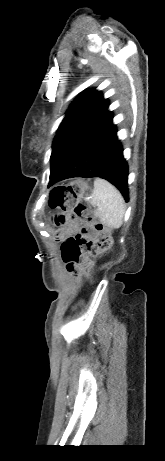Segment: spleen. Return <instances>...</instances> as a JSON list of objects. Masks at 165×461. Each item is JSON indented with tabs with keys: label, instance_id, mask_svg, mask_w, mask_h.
<instances>
[{
	"label": "spleen",
	"instance_id": "spleen-1",
	"mask_svg": "<svg viewBox=\"0 0 165 461\" xmlns=\"http://www.w3.org/2000/svg\"><path fill=\"white\" fill-rule=\"evenodd\" d=\"M90 204L96 208L95 216L110 228H120L125 215V201L111 183L97 178L90 196Z\"/></svg>",
	"mask_w": 165,
	"mask_h": 461
}]
</instances>
